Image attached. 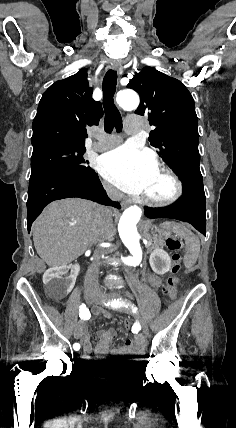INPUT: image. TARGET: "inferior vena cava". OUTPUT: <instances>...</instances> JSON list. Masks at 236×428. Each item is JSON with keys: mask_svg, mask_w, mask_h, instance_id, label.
Instances as JSON below:
<instances>
[{"mask_svg": "<svg viewBox=\"0 0 236 428\" xmlns=\"http://www.w3.org/2000/svg\"><path fill=\"white\" fill-rule=\"evenodd\" d=\"M105 188L107 190L108 196L110 198H115V188L113 186H110V184H105ZM112 208H103V216H105L104 223L107 226H110L113 223L114 217L112 216L111 212ZM106 252V249L97 248L93 252V265L89 266L88 272L85 273V280H84V295L87 298H96L98 297L99 293H101V289H99V282H98V276H99V268H100V259L102 256H104Z\"/></svg>", "mask_w": 236, "mask_h": 428, "instance_id": "1", "label": "inferior vena cava"}]
</instances>
